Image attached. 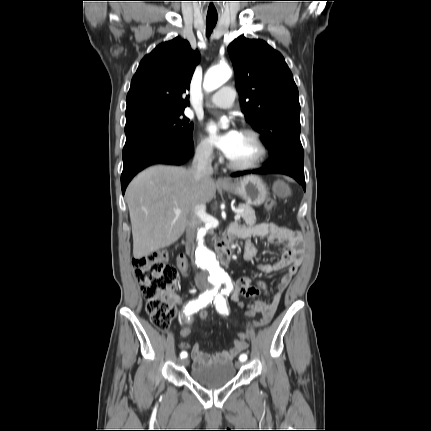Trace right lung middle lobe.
Instances as JSON below:
<instances>
[{"mask_svg":"<svg viewBox=\"0 0 431 431\" xmlns=\"http://www.w3.org/2000/svg\"><path fill=\"white\" fill-rule=\"evenodd\" d=\"M149 130H160L191 139L193 124L184 115V111L152 112L126 120V138Z\"/></svg>","mask_w":431,"mask_h":431,"instance_id":"dd1d6c3e","label":"right lung middle lobe"}]
</instances>
